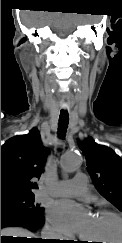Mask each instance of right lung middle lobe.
Listing matches in <instances>:
<instances>
[{"label": "right lung middle lobe", "instance_id": "right-lung-middle-lobe-1", "mask_svg": "<svg viewBox=\"0 0 122 243\" xmlns=\"http://www.w3.org/2000/svg\"><path fill=\"white\" fill-rule=\"evenodd\" d=\"M1 207L19 208L35 214H43V207L34 203V195L1 198Z\"/></svg>", "mask_w": 122, "mask_h": 243}]
</instances>
